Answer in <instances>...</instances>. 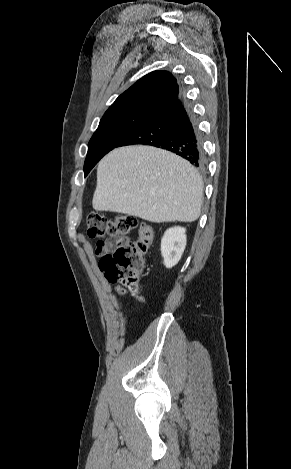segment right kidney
Returning <instances> with one entry per match:
<instances>
[{"label": "right kidney", "mask_w": 291, "mask_h": 469, "mask_svg": "<svg viewBox=\"0 0 291 469\" xmlns=\"http://www.w3.org/2000/svg\"><path fill=\"white\" fill-rule=\"evenodd\" d=\"M186 229L173 227L166 230L161 240V254L166 268L175 266L186 247Z\"/></svg>", "instance_id": "obj_1"}]
</instances>
